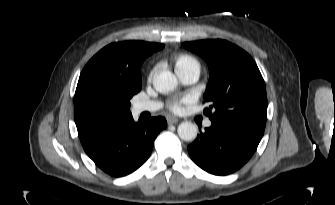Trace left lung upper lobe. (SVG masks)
Wrapping results in <instances>:
<instances>
[{"label":"left lung upper lobe","mask_w":335,"mask_h":205,"mask_svg":"<svg viewBox=\"0 0 335 205\" xmlns=\"http://www.w3.org/2000/svg\"><path fill=\"white\" fill-rule=\"evenodd\" d=\"M182 46L205 59L210 79L204 94L210 106L204 114L264 131L267 113L265 83L254 60L225 40L185 42Z\"/></svg>","instance_id":"5c2ea615"}]
</instances>
